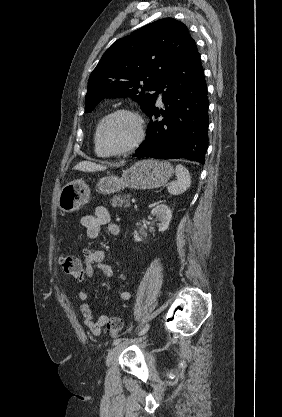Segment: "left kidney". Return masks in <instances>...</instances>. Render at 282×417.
<instances>
[{"label":"left kidney","mask_w":282,"mask_h":417,"mask_svg":"<svg viewBox=\"0 0 282 417\" xmlns=\"http://www.w3.org/2000/svg\"><path fill=\"white\" fill-rule=\"evenodd\" d=\"M151 215H157V217H160L158 231H167L169 223L172 219V211L169 209V206H167V204H157V206H154V209H152ZM134 241L139 243V241H143V239L138 237V233H134Z\"/></svg>","instance_id":"obj_1"}]
</instances>
